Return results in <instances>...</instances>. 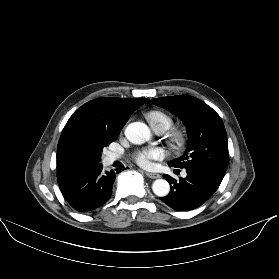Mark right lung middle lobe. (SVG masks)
I'll return each instance as SVG.
<instances>
[{"mask_svg":"<svg viewBox=\"0 0 279 279\" xmlns=\"http://www.w3.org/2000/svg\"><path fill=\"white\" fill-rule=\"evenodd\" d=\"M119 134H106V133H97L94 134L87 142L86 149L89 155L96 162L101 160V152L104 147L109 145L111 142L115 141L118 138Z\"/></svg>","mask_w":279,"mask_h":279,"instance_id":"right-lung-middle-lobe-1","label":"right lung middle lobe"}]
</instances>
